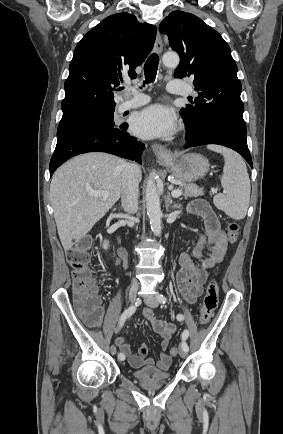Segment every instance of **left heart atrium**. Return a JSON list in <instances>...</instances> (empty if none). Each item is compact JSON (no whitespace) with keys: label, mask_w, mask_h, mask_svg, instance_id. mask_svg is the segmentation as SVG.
I'll return each mask as SVG.
<instances>
[{"label":"left heart atrium","mask_w":283,"mask_h":434,"mask_svg":"<svg viewBox=\"0 0 283 434\" xmlns=\"http://www.w3.org/2000/svg\"><path fill=\"white\" fill-rule=\"evenodd\" d=\"M177 129L174 111L163 104H154L139 112L133 122V131L143 138H161Z\"/></svg>","instance_id":"obj_1"}]
</instances>
